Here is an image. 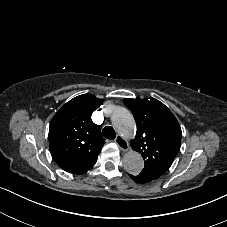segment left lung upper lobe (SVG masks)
Here are the masks:
<instances>
[{"mask_svg": "<svg viewBox=\"0 0 227 227\" xmlns=\"http://www.w3.org/2000/svg\"><path fill=\"white\" fill-rule=\"evenodd\" d=\"M123 102L137 124L136 137L131 140V147L145 160L139 175L156 180L170 168L180 149V125L171 111L154 98H126Z\"/></svg>", "mask_w": 227, "mask_h": 227, "instance_id": "1", "label": "left lung upper lobe"}]
</instances>
